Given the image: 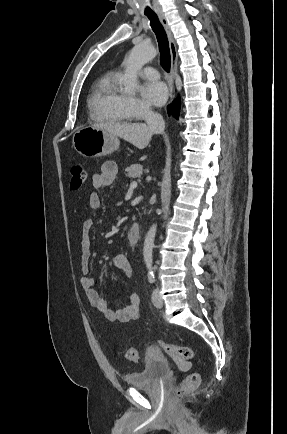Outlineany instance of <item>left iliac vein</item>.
I'll return each mask as SVG.
<instances>
[{"instance_id": "left-iliac-vein-1", "label": "left iliac vein", "mask_w": 287, "mask_h": 434, "mask_svg": "<svg viewBox=\"0 0 287 434\" xmlns=\"http://www.w3.org/2000/svg\"><path fill=\"white\" fill-rule=\"evenodd\" d=\"M152 303L156 308H162L163 307V300L159 294L158 289H155L152 293Z\"/></svg>"}]
</instances>
